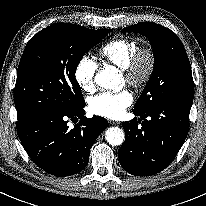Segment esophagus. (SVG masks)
Masks as SVG:
<instances>
[{"label":"esophagus","instance_id":"34e87169","mask_svg":"<svg viewBox=\"0 0 206 206\" xmlns=\"http://www.w3.org/2000/svg\"><path fill=\"white\" fill-rule=\"evenodd\" d=\"M109 122H110V124H113V125H118V124H120L119 121H112V120H110Z\"/></svg>","mask_w":206,"mask_h":206}]
</instances>
